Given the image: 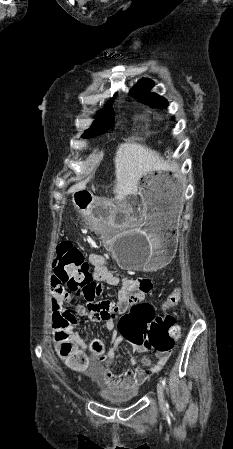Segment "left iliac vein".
<instances>
[{"label": "left iliac vein", "instance_id": "1", "mask_svg": "<svg viewBox=\"0 0 233 449\" xmlns=\"http://www.w3.org/2000/svg\"><path fill=\"white\" fill-rule=\"evenodd\" d=\"M157 395H158V400H159V406L161 409H163L165 407V403H164L163 388H162L161 383L157 384Z\"/></svg>", "mask_w": 233, "mask_h": 449}]
</instances>
